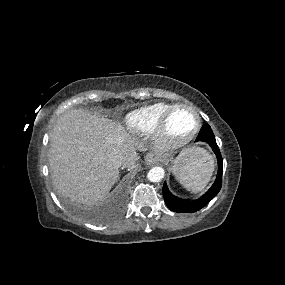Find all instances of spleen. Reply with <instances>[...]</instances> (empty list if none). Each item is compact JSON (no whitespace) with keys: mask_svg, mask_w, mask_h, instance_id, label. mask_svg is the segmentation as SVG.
<instances>
[{"mask_svg":"<svg viewBox=\"0 0 285 285\" xmlns=\"http://www.w3.org/2000/svg\"><path fill=\"white\" fill-rule=\"evenodd\" d=\"M213 171V157L200 147H192L181 153L180 163L173 167L178 181L193 193H199L206 187Z\"/></svg>","mask_w":285,"mask_h":285,"instance_id":"obj_1","label":"spleen"}]
</instances>
